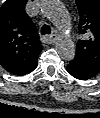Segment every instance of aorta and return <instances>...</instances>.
Returning a JSON list of instances; mask_svg holds the SVG:
<instances>
[{
    "label": "aorta",
    "mask_w": 100,
    "mask_h": 118,
    "mask_svg": "<svg viewBox=\"0 0 100 118\" xmlns=\"http://www.w3.org/2000/svg\"><path fill=\"white\" fill-rule=\"evenodd\" d=\"M42 12L54 23L60 32L56 41L58 55L63 60H72L75 57L76 49L70 36V19L64 6L59 0H44Z\"/></svg>",
    "instance_id": "aorta-1"
}]
</instances>
